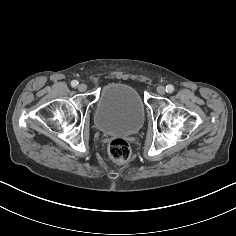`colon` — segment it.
Listing matches in <instances>:
<instances>
[{"label": "colon", "instance_id": "obj_1", "mask_svg": "<svg viewBox=\"0 0 236 236\" xmlns=\"http://www.w3.org/2000/svg\"><path fill=\"white\" fill-rule=\"evenodd\" d=\"M108 154L115 162L124 163L130 159L131 149L124 139L115 138L108 145Z\"/></svg>", "mask_w": 236, "mask_h": 236}]
</instances>
